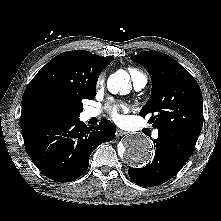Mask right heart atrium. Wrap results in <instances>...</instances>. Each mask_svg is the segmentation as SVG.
<instances>
[{
  "label": "right heart atrium",
  "mask_w": 221,
  "mask_h": 221,
  "mask_svg": "<svg viewBox=\"0 0 221 221\" xmlns=\"http://www.w3.org/2000/svg\"><path fill=\"white\" fill-rule=\"evenodd\" d=\"M102 82H103V79H102V78H99V80H98V85H101Z\"/></svg>",
  "instance_id": "obj_1"
}]
</instances>
